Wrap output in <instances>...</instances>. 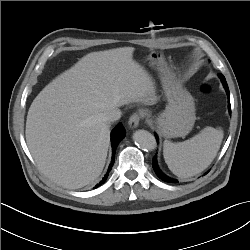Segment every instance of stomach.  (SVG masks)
I'll list each match as a JSON object with an SVG mask.
<instances>
[{"label":"stomach","mask_w":250,"mask_h":250,"mask_svg":"<svg viewBox=\"0 0 250 250\" xmlns=\"http://www.w3.org/2000/svg\"><path fill=\"white\" fill-rule=\"evenodd\" d=\"M147 60L151 67L160 72L168 101L166 109L155 120L158 132L166 138L184 137L192 130L196 120L194 99L167 66L161 54L152 52Z\"/></svg>","instance_id":"1"}]
</instances>
